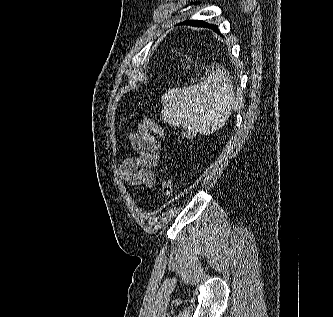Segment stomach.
I'll return each instance as SVG.
<instances>
[{
  "mask_svg": "<svg viewBox=\"0 0 333 317\" xmlns=\"http://www.w3.org/2000/svg\"><path fill=\"white\" fill-rule=\"evenodd\" d=\"M209 74H214V71H202V75H185V82H227L209 81Z\"/></svg>",
  "mask_w": 333,
  "mask_h": 317,
  "instance_id": "1",
  "label": "stomach"
}]
</instances>
